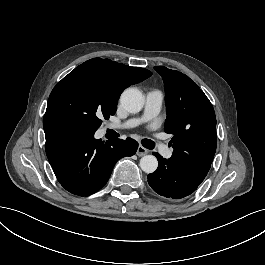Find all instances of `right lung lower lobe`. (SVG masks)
<instances>
[{
	"label": "right lung lower lobe",
	"instance_id": "right-lung-lower-lobe-1",
	"mask_svg": "<svg viewBox=\"0 0 265 265\" xmlns=\"http://www.w3.org/2000/svg\"><path fill=\"white\" fill-rule=\"evenodd\" d=\"M43 126L46 154L59 183L79 196L100 190L116 162L138 149V143L131 138L104 143L95 139L94 133L67 123L47 121Z\"/></svg>",
	"mask_w": 265,
	"mask_h": 265
}]
</instances>
